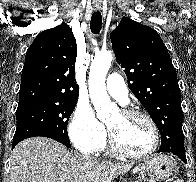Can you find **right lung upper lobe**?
Segmentation results:
<instances>
[{"instance_id":"right-lung-upper-lobe-1","label":"right lung upper lobe","mask_w":196,"mask_h":182,"mask_svg":"<svg viewBox=\"0 0 196 182\" xmlns=\"http://www.w3.org/2000/svg\"><path fill=\"white\" fill-rule=\"evenodd\" d=\"M76 56V39L64 22L39 33L26 53L18 105L78 99Z\"/></svg>"}]
</instances>
